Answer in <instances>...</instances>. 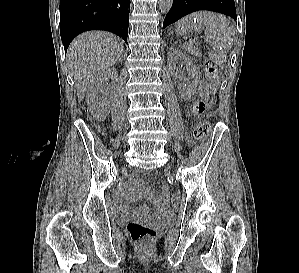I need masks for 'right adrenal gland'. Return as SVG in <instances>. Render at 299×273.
I'll return each instance as SVG.
<instances>
[{
    "instance_id": "2a0ac1e0",
    "label": "right adrenal gland",
    "mask_w": 299,
    "mask_h": 273,
    "mask_svg": "<svg viewBox=\"0 0 299 273\" xmlns=\"http://www.w3.org/2000/svg\"><path fill=\"white\" fill-rule=\"evenodd\" d=\"M123 60V55H122V57L119 59V61H122Z\"/></svg>"
}]
</instances>
